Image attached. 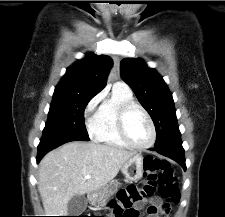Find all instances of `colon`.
Here are the masks:
<instances>
[{"instance_id": "1", "label": "colon", "mask_w": 225, "mask_h": 217, "mask_svg": "<svg viewBox=\"0 0 225 217\" xmlns=\"http://www.w3.org/2000/svg\"><path fill=\"white\" fill-rule=\"evenodd\" d=\"M145 184L142 188L134 185L122 190L118 196V202L113 203V212L116 217H138V212L132 207L144 196L153 194L158 188L160 195L168 201L162 207H150L149 214L158 215L169 211V203H177L180 198V190L174 169L167 161L146 156L143 160ZM158 217V216H157Z\"/></svg>"}]
</instances>
